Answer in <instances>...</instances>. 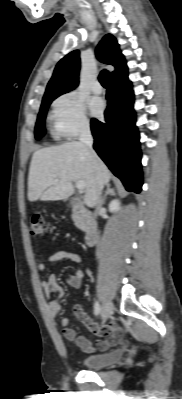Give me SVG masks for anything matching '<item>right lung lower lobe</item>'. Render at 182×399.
Instances as JSON below:
<instances>
[{"label": "right lung lower lobe", "instance_id": "98d812e1", "mask_svg": "<svg viewBox=\"0 0 182 399\" xmlns=\"http://www.w3.org/2000/svg\"><path fill=\"white\" fill-rule=\"evenodd\" d=\"M106 98L105 122L91 120L94 149L127 191L142 186L139 133L135 126L134 94L128 74L111 79Z\"/></svg>", "mask_w": 182, "mask_h": 399}]
</instances>
